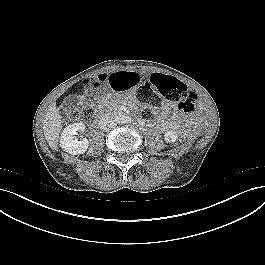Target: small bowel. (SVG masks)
Masks as SVG:
<instances>
[{
    "instance_id": "c3829d8e",
    "label": "small bowel",
    "mask_w": 265,
    "mask_h": 265,
    "mask_svg": "<svg viewBox=\"0 0 265 265\" xmlns=\"http://www.w3.org/2000/svg\"><path fill=\"white\" fill-rule=\"evenodd\" d=\"M142 82L149 83L148 77H142L139 71L132 70L128 73L119 72L113 75H101L98 79H92L88 83V90L92 94H100L104 90V84H109L114 91L123 92L126 88L139 86ZM171 109H173L172 106L164 105L159 112V117L161 119L166 118ZM168 127L177 130L180 126L178 122L172 121L168 124Z\"/></svg>"
}]
</instances>
